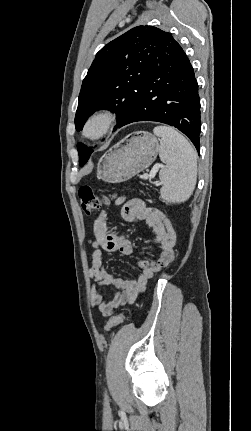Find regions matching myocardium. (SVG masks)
I'll return each mask as SVG.
<instances>
[{
    "mask_svg": "<svg viewBox=\"0 0 251 431\" xmlns=\"http://www.w3.org/2000/svg\"><path fill=\"white\" fill-rule=\"evenodd\" d=\"M116 114L108 109H101L91 113L85 120L81 135L88 141H97L108 134L116 122Z\"/></svg>",
    "mask_w": 251,
    "mask_h": 431,
    "instance_id": "f54148a6",
    "label": "myocardium"
}]
</instances>
